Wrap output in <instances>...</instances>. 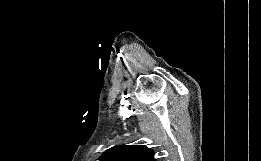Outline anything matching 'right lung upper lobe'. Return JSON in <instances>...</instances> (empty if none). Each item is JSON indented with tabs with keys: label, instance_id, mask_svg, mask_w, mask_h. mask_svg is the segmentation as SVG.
<instances>
[{
	"label": "right lung upper lobe",
	"instance_id": "1",
	"mask_svg": "<svg viewBox=\"0 0 261 161\" xmlns=\"http://www.w3.org/2000/svg\"><path fill=\"white\" fill-rule=\"evenodd\" d=\"M101 161H156L154 152L143 145H116L106 151Z\"/></svg>",
	"mask_w": 261,
	"mask_h": 161
}]
</instances>
